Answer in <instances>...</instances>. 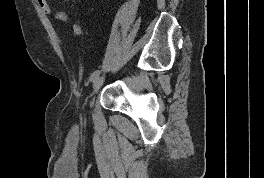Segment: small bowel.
<instances>
[{
  "instance_id": "1",
  "label": "small bowel",
  "mask_w": 264,
  "mask_h": 178,
  "mask_svg": "<svg viewBox=\"0 0 264 178\" xmlns=\"http://www.w3.org/2000/svg\"><path fill=\"white\" fill-rule=\"evenodd\" d=\"M36 2L44 13L53 15V17L57 21L64 23L69 21V17L64 11L62 10L53 11L48 0H36ZM72 31L75 35H80L83 31V27L80 23H74L72 25Z\"/></svg>"
}]
</instances>
